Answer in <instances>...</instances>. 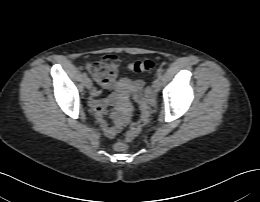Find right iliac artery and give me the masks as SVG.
<instances>
[{"instance_id": "82829eb1", "label": "right iliac artery", "mask_w": 260, "mask_h": 202, "mask_svg": "<svg viewBox=\"0 0 260 202\" xmlns=\"http://www.w3.org/2000/svg\"><path fill=\"white\" fill-rule=\"evenodd\" d=\"M83 77H84V79H86L87 78V74L83 73Z\"/></svg>"}]
</instances>
